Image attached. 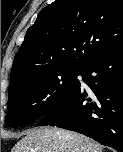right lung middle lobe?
<instances>
[{
	"mask_svg": "<svg viewBox=\"0 0 123 152\" xmlns=\"http://www.w3.org/2000/svg\"><path fill=\"white\" fill-rule=\"evenodd\" d=\"M81 69L64 68L29 76L9 90L5 123L23 125L55 112L79 87Z\"/></svg>",
	"mask_w": 123,
	"mask_h": 152,
	"instance_id": "1",
	"label": "right lung middle lobe"
}]
</instances>
